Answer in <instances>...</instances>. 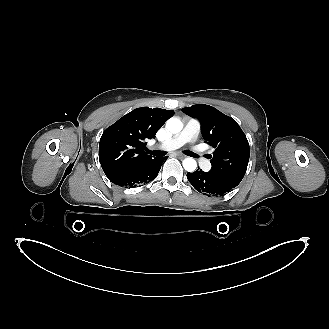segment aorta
<instances>
[{
  "instance_id": "obj_1",
  "label": "aorta",
  "mask_w": 329,
  "mask_h": 329,
  "mask_svg": "<svg viewBox=\"0 0 329 329\" xmlns=\"http://www.w3.org/2000/svg\"><path fill=\"white\" fill-rule=\"evenodd\" d=\"M183 123L180 119L172 117L166 122V129L175 134L182 130ZM183 167L187 172H194L197 168V162L195 159L188 157L183 160Z\"/></svg>"
}]
</instances>
